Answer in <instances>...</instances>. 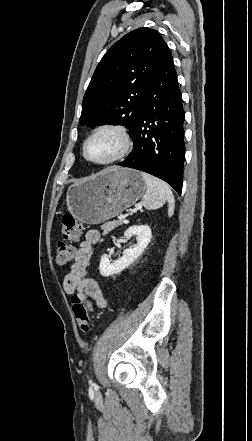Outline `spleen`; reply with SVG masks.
<instances>
[{
    "instance_id": "1",
    "label": "spleen",
    "mask_w": 252,
    "mask_h": 441,
    "mask_svg": "<svg viewBox=\"0 0 252 441\" xmlns=\"http://www.w3.org/2000/svg\"><path fill=\"white\" fill-rule=\"evenodd\" d=\"M145 184L146 194L143 205L148 210H155L168 203V216L174 213L175 200L167 183L147 173H141Z\"/></svg>"
}]
</instances>
